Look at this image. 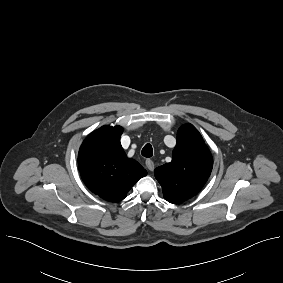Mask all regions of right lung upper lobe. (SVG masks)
Masks as SVG:
<instances>
[{
	"label": "right lung upper lobe",
	"mask_w": 283,
	"mask_h": 283,
	"mask_svg": "<svg viewBox=\"0 0 283 283\" xmlns=\"http://www.w3.org/2000/svg\"><path fill=\"white\" fill-rule=\"evenodd\" d=\"M120 126H103L92 132L82 143L78 165L86 186L101 198L120 201L147 171L126 156Z\"/></svg>",
	"instance_id": "1"
}]
</instances>
